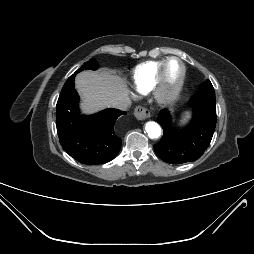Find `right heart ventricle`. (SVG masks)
Instances as JSON below:
<instances>
[{
    "label": "right heart ventricle",
    "instance_id": "obj_1",
    "mask_svg": "<svg viewBox=\"0 0 254 254\" xmlns=\"http://www.w3.org/2000/svg\"><path fill=\"white\" fill-rule=\"evenodd\" d=\"M165 59L147 61L139 64L133 71L132 82L140 93H148L154 87L159 68Z\"/></svg>",
    "mask_w": 254,
    "mask_h": 254
}]
</instances>
